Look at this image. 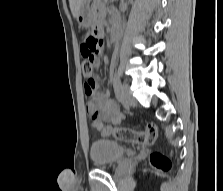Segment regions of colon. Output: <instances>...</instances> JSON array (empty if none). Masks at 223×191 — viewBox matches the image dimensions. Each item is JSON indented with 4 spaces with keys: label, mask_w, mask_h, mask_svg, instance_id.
Listing matches in <instances>:
<instances>
[{
    "label": "colon",
    "mask_w": 223,
    "mask_h": 191,
    "mask_svg": "<svg viewBox=\"0 0 223 191\" xmlns=\"http://www.w3.org/2000/svg\"><path fill=\"white\" fill-rule=\"evenodd\" d=\"M102 46V42L95 34L89 35L81 44V55L83 62L81 65L83 77L87 83L92 85V77L96 64L97 54ZM104 137L113 136L120 141L138 145L153 144L158 136L157 127L154 123L149 122L144 131H138L120 127H104L102 129ZM152 166L161 172H169L172 168L171 160L160 151H153L150 155Z\"/></svg>",
    "instance_id": "5ec220e1"
}]
</instances>
